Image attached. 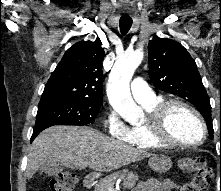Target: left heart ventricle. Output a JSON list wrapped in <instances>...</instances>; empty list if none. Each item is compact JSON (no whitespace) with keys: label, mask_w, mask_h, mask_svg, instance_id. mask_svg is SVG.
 I'll list each match as a JSON object with an SVG mask.
<instances>
[{"label":"left heart ventricle","mask_w":221,"mask_h":191,"mask_svg":"<svg viewBox=\"0 0 221 191\" xmlns=\"http://www.w3.org/2000/svg\"><path fill=\"white\" fill-rule=\"evenodd\" d=\"M172 136L181 142L196 143L202 138V130L196 118L188 111L178 108L170 117Z\"/></svg>","instance_id":"1"}]
</instances>
